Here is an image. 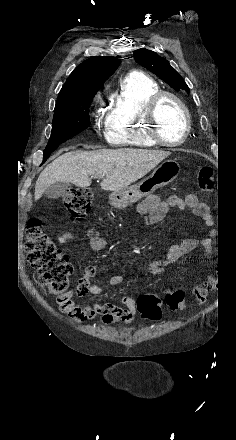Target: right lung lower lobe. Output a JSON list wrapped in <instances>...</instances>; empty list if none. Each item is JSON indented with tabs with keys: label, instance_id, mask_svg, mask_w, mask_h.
<instances>
[{
	"label": "right lung lower lobe",
	"instance_id": "98d812e1",
	"mask_svg": "<svg viewBox=\"0 0 236 440\" xmlns=\"http://www.w3.org/2000/svg\"><path fill=\"white\" fill-rule=\"evenodd\" d=\"M57 147H53V148H46L44 150V156H43V162L44 163L50 156V154L56 149Z\"/></svg>",
	"mask_w": 236,
	"mask_h": 440
}]
</instances>
